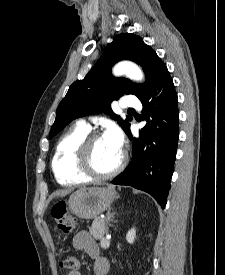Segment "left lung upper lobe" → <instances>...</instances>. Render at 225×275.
<instances>
[{
	"label": "left lung upper lobe",
	"instance_id": "obj_1",
	"mask_svg": "<svg viewBox=\"0 0 225 275\" xmlns=\"http://www.w3.org/2000/svg\"><path fill=\"white\" fill-rule=\"evenodd\" d=\"M121 60H132L139 64L145 72L146 83L135 84L122 77H113L111 67ZM166 69L165 63L142 38L130 33L119 34L85 78L70 86L57 108L49 138L54 137L72 120L98 112L117 119L126 132L130 128L128 121L132 118L127 116L126 121H123L112 111L111 102L124 94H134L140 98Z\"/></svg>",
	"mask_w": 225,
	"mask_h": 275
}]
</instances>
